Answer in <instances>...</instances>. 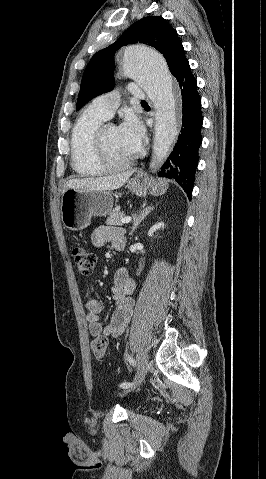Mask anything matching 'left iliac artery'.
<instances>
[{"label":"left iliac artery","instance_id":"44dca946","mask_svg":"<svg viewBox=\"0 0 266 479\" xmlns=\"http://www.w3.org/2000/svg\"><path fill=\"white\" fill-rule=\"evenodd\" d=\"M126 357H127V360L130 362V364H132V365H131V368H132V369H135V368L138 367V366L136 365V362L134 361V359H133L130 355L126 354ZM132 385H133V384L130 383V382H123V383L120 384V387L123 388V389H126V388L131 387Z\"/></svg>","mask_w":266,"mask_h":479}]
</instances>
